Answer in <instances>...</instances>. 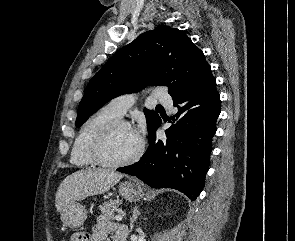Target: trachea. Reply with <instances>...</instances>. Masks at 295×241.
<instances>
[{
  "label": "trachea",
  "instance_id": "trachea-1",
  "mask_svg": "<svg viewBox=\"0 0 295 241\" xmlns=\"http://www.w3.org/2000/svg\"><path fill=\"white\" fill-rule=\"evenodd\" d=\"M158 108H163L161 105H157Z\"/></svg>",
  "mask_w": 295,
  "mask_h": 241
}]
</instances>
